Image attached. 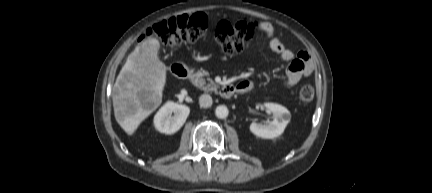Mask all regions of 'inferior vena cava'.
<instances>
[{
	"instance_id": "inferior-vena-cava-1",
	"label": "inferior vena cava",
	"mask_w": 432,
	"mask_h": 193,
	"mask_svg": "<svg viewBox=\"0 0 432 193\" xmlns=\"http://www.w3.org/2000/svg\"><path fill=\"white\" fill-rule=\"evenodd\" d=\"M212 97L209 94H202L199 98L200 106L203 108H208L212 105Z\"/></svg>"
}]
</instances>
